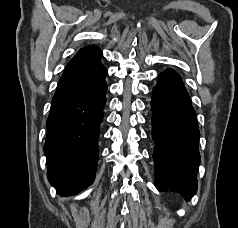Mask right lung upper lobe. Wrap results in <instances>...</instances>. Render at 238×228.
Wrapping results in <instances>:
<instances>
[{
  "instance_id": "cb5924a9",
  "label": "right lung upper lobe",
  "mask_w": 238,
  "mask_h": 228,
  "mask_svg": "<svg viewBox=\"0 0 238 228\" xmlns=\"http://www.w3.org/2000/svg\"><path fill=\"white\" fill-rule=\"evenodd\" d=\"M102 51L96 46H87L81 49L68 63L58 88L88 83L95 80L105 71L100 58Z\"/></svg>"
}]
</instances>
